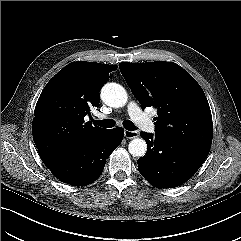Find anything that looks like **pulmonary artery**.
Instances as JSON below:
<instances>
[{
	"label": "pulmonary artery",
	"instance_id": "obj_1",
	"mask_svg": "<svg viewBox=\"0 0 241 241\" xmlns=\"http://www.w3.org/2000/svg\"><path fill=\"white\" fill-rule=\"evenodd\" d=\"M128 113L132 120L144 131L154 132L155 126L151 119L146 116L135 102L128 104ZM103 117V116H101Z\"/></svg>",
	"mask_w": 241,
	"mask_h": 241
}]
</instances>
